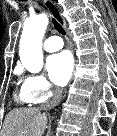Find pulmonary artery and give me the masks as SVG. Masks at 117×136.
<instances>
[{"instance_id":"obj_1","label":"pulmonary artery","mask_w":117,"mask_h":136,"mask_svg":"<svg viewBox=\"0 0 117 136\" xmlns=\"http://www.w3.org/2000/svg\"><path fill=\"white\" fill-rule=\"evenodd\" d=\"M63 47V41L58 36H51L47 38L43 43V48L47 52H54Z\"/></svg>"}]
</instances>
